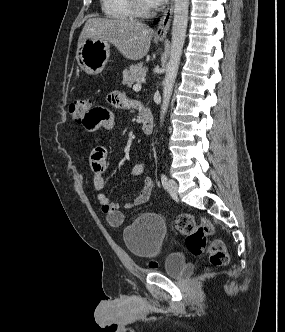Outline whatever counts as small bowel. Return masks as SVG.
<instances>
[{
  "label": "small bowel",
  "instance_id": "c3829d8e",
  "mask_svg": "<svg viewBox=\"0 0 285 332\" xmlns=\"http://www.w3.org/2000/svg\"><path fill=\"white\" fill-rule=\"evenodd\" d=\"M109 101L117 107L128 106L127 101L118 93L109 95ZM79 122L86 126V133H101L103 130H111L114 126L113 116L109 113V106H90V111L79 115ZM90 165L93 171L92 184L96 191L97 202L102 212L106 215L108 224L119 227L124 221L123 212L140 206L148 201L153 190L151 178H145L143 188L137 197L122 202H112L104 192L105 175L107 172V151L105 147L97 143L90 150ZM145 162L135 164L131 170L133 176L141 175L145 170Z\"/></svg>",
  "mask_w": 285,
  "mask_h": 332
}]
</instances>
